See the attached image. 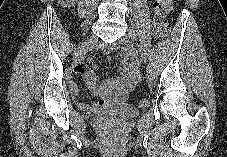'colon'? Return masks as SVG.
Segmentation results:
<instances>
[{
  "mask_svg": "<svg viewBox=\"0 0 227 157\" xmlns=\"http://www.w3.org/2000/svg\"><path fill=\"white\" fill-rule=\"evenodd\" d=\"M162 5L160 0H155L153 3V24L155 34L163 38L168 33V26H167V19L165 14L162 11ZM137 105L140 108H146L150 104V97L148 95H143L137 98L136 100Z\"/></svg>",
  "mask_w": 227,
  "mask_h": 157,
  "instance_id": "colon-1",
  "label": "colon"
}]
</instances>
